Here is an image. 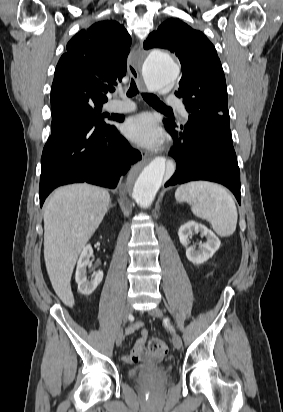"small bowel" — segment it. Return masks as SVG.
<instances>
[{
  "label": "small bowel",
  "instance_id": "1",
  "mask_svg": "<svg viewBox=\"0 0 283 412\" xmlns=\"http://www.w3.org/2000/svg\"><path fill=\"white\" fill-rule=\"evenodd\" d=\"M139 329L141 330L142 337L136 341L130 353L124 356L123 360L126 363H136L147 357L145 349V339L149 333L147 329L143 328V322L137 321L133 323L126 329V333L132 334Z\"/></svg>",
  "mask_w": 283,
  "mask_h": 412
}]
</instances>
